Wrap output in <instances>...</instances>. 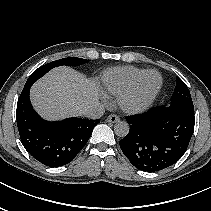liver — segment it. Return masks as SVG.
Segmentation results:
<instances>
[{"label":"liver","mask_w":211,"mask_h":211,"mask_svg":"<svg viewBox=\"0 0 211 211\" xmlns=\"http://www.w3.org/2000/svg\"><path fill=\"white\" fill-rule=\"evenodd\" d=\"M30 96L35 110L48 120L82 116L99 99L98 88L91 80L65 66L54 68L38 80Z\"/></svg>","instance_id":"1"}]
</instances>
